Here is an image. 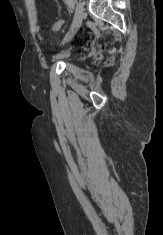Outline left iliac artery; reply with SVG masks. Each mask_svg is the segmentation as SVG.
Here are the masks:
<instances>
[{
	"instance_id": "obj_1",
	"label": "left iliac artery",
	"mask_w": 163,
	"mask_h": 235,
	"mask_svg": "<svg viewBox=\"0 0 163 235\" xmlns=\"http://www.w3.org/2000/svg\"><path fill=\"white\" fill-rule=\"evenodd\" d=\"M66 2H67V4L69 5V7H70L71 9L74 8V1H73V0H66Z\"/></svg>"
}]
</instances>
